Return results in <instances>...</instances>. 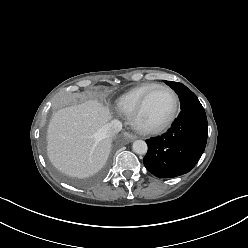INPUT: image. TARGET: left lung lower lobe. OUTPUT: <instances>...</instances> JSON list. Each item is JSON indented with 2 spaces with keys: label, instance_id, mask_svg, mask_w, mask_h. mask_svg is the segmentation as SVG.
I'll list each match as a JSON object with an SVG mask.
<instances>
[{
  "label": "left lung lower lobe",
  "instance_id": "1",
  "mask_svg": "<svg viewBox=\"0 0 248 248\" xmlns=\"http://www.w3.org/2000/svg\"><path fill=\"white\" fill-rule=\"evenodd\" d=\"M207 127L205 110L200 102L181 109L165 134L146 140L148 152L143 163L147 170L159 178L189 172L204 152Z\"/></svg>",
  "mask_w": 248,
  "mask_h": 248
}]
</instances>
